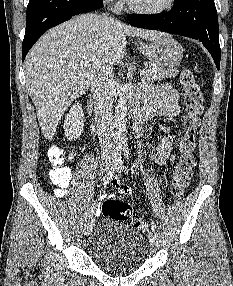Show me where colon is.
<instances>
[{"instance_id":"5ec220e1","label":"colon","mask_w":233,"mask_h":286,"mask_svg":"<svg viewBox=\"0 0 233 286\" xmlns=\"http://www.w3.org/2000/svg\"><path fill=\"white\" fill-rule=\"evenodd\" d=\"M183 102L185 107L184 134L180 142V158L174 168L172 176V195L175 199L181 198L191 179L196 164L194 151L196 137L200 124V115L203 110V97L195 75L189 69L180 74ZM64 155L59 147H52L48 151V162L51 166V180L61 187L67 186L71 181V171L63 166ZM102 213L105 217L129 221L132 228L145 231L146 224L138 216L131 214L130 207L119 200L108 198L102 204Z\"/></svg>"}]
</instances>
